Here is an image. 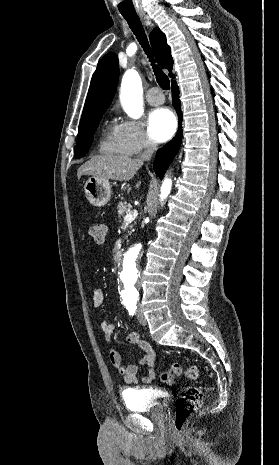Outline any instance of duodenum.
Here are the masks:
<instances>
[{"label": "duodenum", "instance_id": "410a0bca", "mask_svg": "<svg viewBox=\"0 0 279 465\" xmlns=\"http://www.w3.org/2000/svg\"><path fill=\"white\" fill-rule=\"evenodd\" d=\"M123 258V252L122 251H118L115 256H114V259L116 262H120Z\"/></svg>", "mask_w": 279, "mask_h": 465}]
</instances>
